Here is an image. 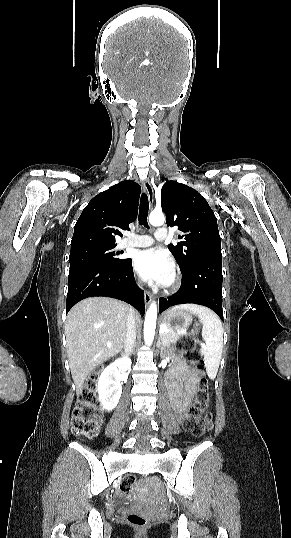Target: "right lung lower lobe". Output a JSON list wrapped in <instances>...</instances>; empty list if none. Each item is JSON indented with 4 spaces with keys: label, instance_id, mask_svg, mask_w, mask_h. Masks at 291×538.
Returning a JSON list of instances; mask_svg holds the SVG:
<instances>
[{
    "label": "right lung lower lobe",
    "instance_id": "obj_1",
    "mask_svg": "<svg viewBox=\"0 0 291 538\" xmlns=\"http://www.w3.org/2000/svg\"><path fill=\"white\" fill-rule=\"evenodd\" d=\"M93 296L120 299L142 314L145 312L144 292L136 285L131 259L117 265L94 263L70 267L66 314L77 302Z\"/></svg>",
    "mask_w": 291,
    "mask_h": 538
}]
</instances>
